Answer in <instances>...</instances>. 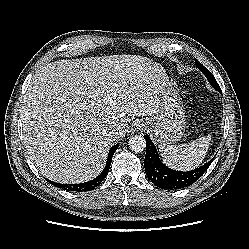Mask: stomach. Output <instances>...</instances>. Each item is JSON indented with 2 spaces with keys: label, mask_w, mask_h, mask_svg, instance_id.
I'll return each mask as SVG.
<instances>
[{
  "label": "stomach",
  "mask_w": 249,
  "mask_h": 249,
  "mask_svg": "<svg viewBox=\"0 0 249 249\" xmlns=\"http://www.w3.org/2000/svg\"><path fill=\"white\" fill-rule=\"evenodd\" d=\"M160 104L154 115L145 121L151 126V134L159 145L180 141L186 128V111L173 85L167 80L162 83Z\"/></svg>",
  "instance_id": "stomach-1"
}]
</instances>
